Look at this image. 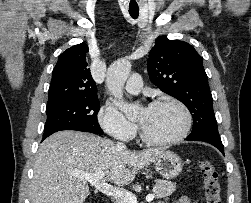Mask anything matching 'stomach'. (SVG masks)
<instances>
[{"label": "stomach", "instance_id": "stomach-1", "mask_svg": "<svg viewBox=\"0 0 251 203\" xmlns=\"http://www.w3.org/2000/svg\"><path fill=\"white\" fill-rule=\"evenodd\" d=\"M156 171L164 178H174L183 167L181 158L172 151H163L154 161Z\"/></svg>", "mask_w": 251, "mask_h": 203}]
</instances>
